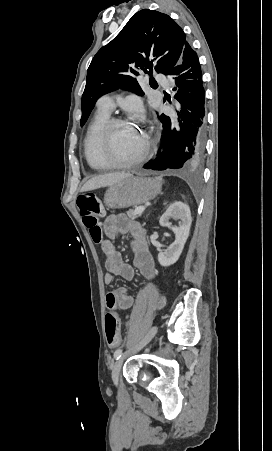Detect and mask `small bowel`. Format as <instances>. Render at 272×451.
<instances>
[{"label":"small bowel","mask_w":272,"mask_h":451,"mask_svg":"<svg viewBox=\"0 0 272 451\" xmlns=\"http://www.w3.org/2000/svg\"><path fill=\"white\" fill-rule=\"evenodd\" d=\"M106 238L101 241V250L105 258L106 273L104 281L110 284L114 275L132 280L137 270L147 280H154L158 271L149 250L144 226L124 214L109 216L103 226ZM130 237L133 253V266L122 259L121 253L115 248L114 241L122 236ZM134 304V297L126 288H116L108 292L106 305L109 309L128 310ZM119 342L121 341L118 335Z\"/></svg>","instance_id":"small-bowel-1"}]
</instances>
